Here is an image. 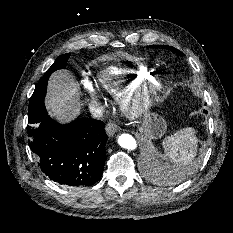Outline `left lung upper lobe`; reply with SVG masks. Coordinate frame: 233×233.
Here are the masks:
<instances>
[{"label":"left lung upper lobe","mask_w":233,"mask_h":233,"mask_svg":"<svg viewBox=\"0 0 233 233\" xmlns=\"http://www.w3.org/2000/svg\"><path fill=\"white\" fill-rule=\"evenodd\" d=\"M150 47H152V48H157V47H159L158 45H154V46H150ZM163 48H165V49H168V50H170V51H172V52H175L176 54H178V55H183L179 50H177L176 48H174V47H170V46H166V45H163L162 46Z\"/></svg>","instance_id":"obj_1"}]
</instances>
